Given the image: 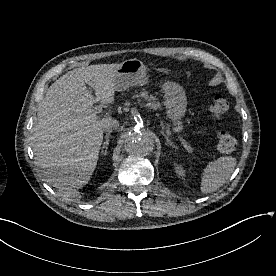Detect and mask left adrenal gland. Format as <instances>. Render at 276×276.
Segmentation results:
<instances>
[{"label":"left adrenal gland","instance_id":"obj_1","mask_svg":"<svg viewBox=\"0 0 276 276\" xmlns=\"http://www.w3.org/2000/svg\"><path fill=\"white\" fill-rule=\"evenodd\" d=\"M161 134L165 137L166 139V145H170L173 148H176V146L171 142V140L168 138V136L164 133V131H161Z\"/></svg>","mask_w":276,"mask_h":276}]
</instances>
